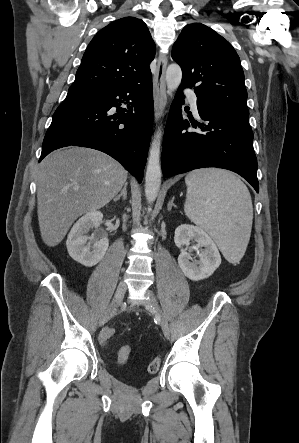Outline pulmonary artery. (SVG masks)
<instances>
[{"mask_svg": "<svg viewBox=\"0 0 299 443\" xmlns=\"http://www.w3.org/2000/svg\"><path fill=\"white\" fill-rule=\"evenodd\" d=\"M185 94H186V96L189 99L192 111L194 112L195 115H198L197 96H196V94L192 90H190V89L185 90Z\"/></svg>", "mask_w": 299, "mask_h": 443, "instance_id": "pulmonary-artery-1", "label": "pulmonary artery"}]
</instances>
